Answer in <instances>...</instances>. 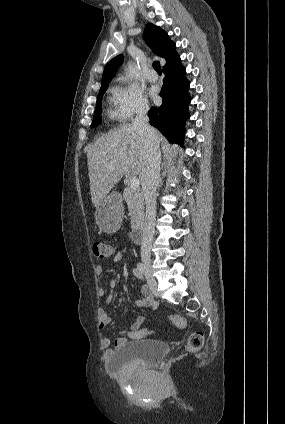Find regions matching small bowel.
Instances as JSON below:
<instances>
[{
  "label": "small bowel",
  "instance_id": "1",
  "mask_svg": "<svg viewBox=\"0 0 285 424\" xmlns=\"http://www.w3.org/2000/svg\"><path fill=\"white\" fill-rule=\"evenodd\" d=\"M127 251L126 248H121L119 249L116 253H114L113 255V262H118L121 260L123 254ZM95 272L97 275H102L104 273V269L102 266H97L95 268ZM134 275L139 279V280H143V275L142 273L138 270L135 269L134 270ZM116 286V282L114 280H112L110 282V293L106 294V290L103 286H100L98 289V293L100 296H106V303H110L112 298H113V292H114V288ZM141 292L143 294V297L139 300H136L135 305L138 308H149V307H154L155 306V302L152 298L151 292L149 290V288L145 285L142 286L141 288ZM111 317L104 311L101 312L100 314V320H99V328L100 329H104L106 327H108L111 324ZM144 322V317L142 315H139L135 321L133 322L131 328L129 331H121L118 335V337L114 340V348H118L121 345L125 344L128 340L131 339H142L141 334H142V324ZM111 344L110 339L105 338L102 341V345L105 349V357L109 358L112 355V350L109 348Z\"/></svg>",
  "mask_w": 285,
  "mask_h": 424
}]
</instances>
